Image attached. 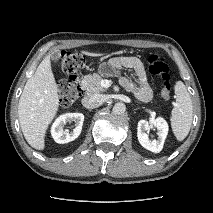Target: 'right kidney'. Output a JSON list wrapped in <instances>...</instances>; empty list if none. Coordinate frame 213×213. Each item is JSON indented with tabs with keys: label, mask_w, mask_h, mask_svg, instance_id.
<instances>
[{
	"label": "right kidney",
	"mask_w": 213,
	"mask_h": 213,
	"mask_svg": "<svg viewBox=\"0 0 213 213\" xmlns=\"http://www.w3.org/2000/svg\"><path fill=\"white\" fill-rule=\"evenodd\" d=\"M84 115L82 113H66L59 116L52 125L51 134L55 142L59 144L75 140L81 133ZM67 122H74L75 128L72 132L64 130Z\"/></svg>",
	"instance_id": "ca27d5eb"
}]
</instances>
